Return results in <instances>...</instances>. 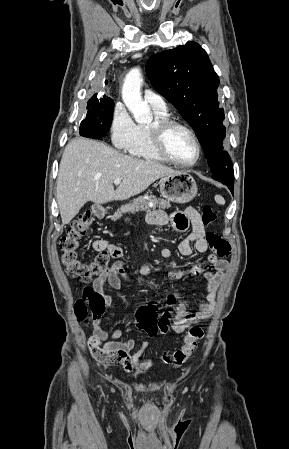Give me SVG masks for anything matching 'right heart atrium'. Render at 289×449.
Here are the masks:
<instances>
[{
  "label": "right heart atrium",
  "instance_id": "obj_1",
  "mask_svg": "<svg viewBox=\"0 0 289 449\" xmlns=\"http://www.w3.org/2000/svg\"><path fill=\"white\" fill-rule=\"evenodd\" d=\"M110 132L113 144L122 150L131 151L139 140L140 128L121 103L113 110Z\"/></svg>",
  "mask_w": 289,
  "mask_h": 449
}]
</instances>
